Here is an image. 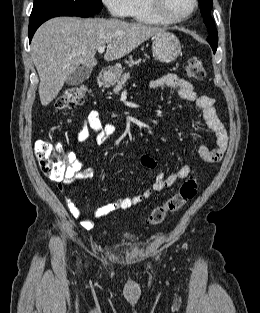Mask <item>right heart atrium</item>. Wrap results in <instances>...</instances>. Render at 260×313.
Returning a JSON list of instances; mask_svg holds the SVG:
<instances>
[{"label": "right heart atrium", "mask_w": 260, "mask_h": 313, "mask_svg": "<svg viewBox=\"0 0 260 313\" xmlns=\"http://www.w3.org/2000/svg\"><path fill=\"white\" fill-rule=\"evenodd\" d=\"M130 0H102L113 17L124 18L128 16Z\"/></svg>", "instance_id": "1"}]
</instances>
